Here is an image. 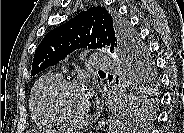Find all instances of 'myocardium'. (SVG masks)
<instances>
[{
	"mask_svg": "<svg viewBox=\"0 0 184 133\" xmlns=\"http://www.w3.org/2000/svg\"><path fill=\"white\" fill-rule=\"evenodd\" d=\"M68 88L81 89V86L77 82L72 80H61L60 82H58L48 92V95L46 98L47 110L57 124H63V125L72 126V127L80 126L89 120L90 114H91V107H90V104H88V109L86 113L82 117L77 119H69L61 115L57 105L58 97L64 90Z\"/></svg>",
	"mask_w": 184,
	"mask_h": 133,
	"instance_id": "f54148a6",
	"label": "myocardium"
}]
</instances>
